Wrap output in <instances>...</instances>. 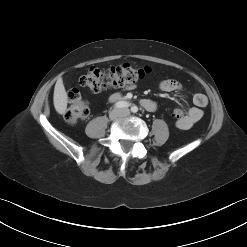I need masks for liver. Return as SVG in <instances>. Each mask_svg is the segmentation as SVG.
<instances>
[{"instance_id": "liver-1", "label": "liver", "mask_w": 247, "mask_h": 247, "mask_svg": "<svg viewBox=\"0 0 247 247\" xmlns=\"http://www.w3.org/2000/svg\"><path fill=\"white\" fill-rule=\"evenodd\" d=\"M67 93L62 78H59L55 84L53 102L55 110L59 114H65L67 109Z\"/></svg>"}]
</instances>
